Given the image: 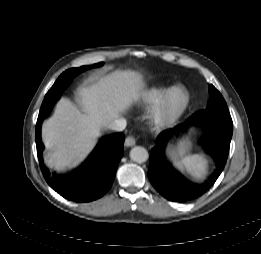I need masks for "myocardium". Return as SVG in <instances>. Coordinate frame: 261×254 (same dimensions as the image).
<instances>
[{"instance_id":"f54148a6","label":"myocardium","mask_w":261,"mask_h":254,"mask_svg":"<svg viewBox=\"0 0 261 254\" xmlns=\"http://www.w3.org/2000/svg\"><path fill=\"white\" fill-rule=\"evenodd\" d=\"M180 92L183 96L182 102L178 108L170 107V98L174 92ZM191 101L188 89L181 84L169 87L154 105L148 114V122L155 129H169L173 127L185 114Z\"/></svg>"}]
</instances>
